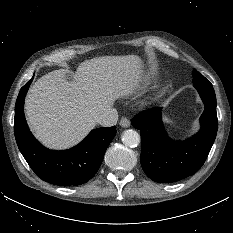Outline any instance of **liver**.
I'll return each instance as SVG.
<instances>
[{
    "mask_svg": "<svg viewBox=\"0 0 233 233\" xmlns=\"http://www.w3.org/2000/svg\"><path fill=\"white\" fill-rule=\"evenodd\" d=\"M67 71L39 78L25 100L35 137L45 146L66 149L79 143L114 102L134 94L146 81L139 56H103L82 62L72 81Z\"/></svg>",
    "mask_w": 233,
    "mask_h": 233,
    "instance_id": "obj_1",
    "label": "liver"
}]
</instances>
